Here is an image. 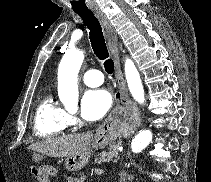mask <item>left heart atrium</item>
Here are the masks:
<instances>
[{"label": "left heart atrium", "mask_w": 211, "mask_h": 182, "mask_svg": "<svg viewBox=\"0 0 211 182\" xmlns=\"http://www.w3.org/2000/svg\"><path fill=\"white\" fill-rule=\"evenodd\" d=\"M112 106V96L105 89L88 90L81 101V115L87 121L103 118Z\"/></svg>", "instance_id": "left-heart-atrium-1"}]
</instances>
